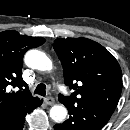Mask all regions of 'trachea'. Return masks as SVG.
I'll return each mask as SVG.
<instances>
[{
  "label": "trachea",
  "instance_id": "trachea-1",
  "mask_svg": "<svg viewBox=\"0 0 130 130\" xmlns=\"http://www.w3.org/2000/svg\"><path fill=\"white\" fill-rule=\"evenodd\" d=\"M34 94H38V95H41V96H45L46 95V85L41 83L39 84L35 91H34Z\"/></svg>",
  "mask_w": 130,
  "mask_h": 130
}]
</instances>
